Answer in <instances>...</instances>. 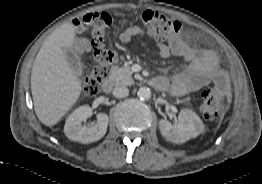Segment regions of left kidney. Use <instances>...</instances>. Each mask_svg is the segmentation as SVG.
I'll return each mask as SVG.
<instances>
[{
  "mask_svg": "<svg viewBox=\"0 0 262 184\" xmlns=\"http://www.w3.org/2000/svg\"><path fill=\"white\" fill-rule=\"evenodd\" d=\"M177 126L166 119L159 121V129L168 141L180 144L197 137L204 131V124L199 116L190 109H182L179 113Z\"/></svg>",
  "mask_w": 262,
  "mask_h": 184,
  "instance_id": "5707ae66",
  "label": "left kidney"
}]
</instances>
